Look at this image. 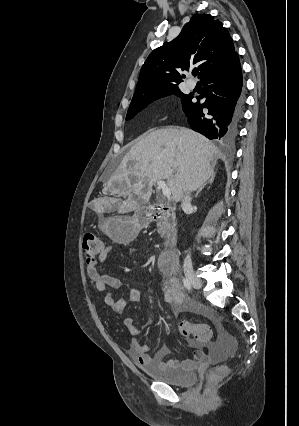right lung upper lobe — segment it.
Returning <instances> with one entry per match:
<instances>
[{
	"mask_svg": "<svg viewBox=\"0 0 299 426\" xmlns=\"http://www.w3.org/2000/svg\"><path fill=\"white\" fill-rule=\"evenodd\" d=\"M236 54L226 28L210 14H196L179 36L153 50L142 66L132 101L178 87L182 71L198 64L199 78L226 65Z\"/></svg>",
	"mask_w": 299,
	"mask_h": 426,
	"instance_id": "cb5924a9",
	"label": "right lung upper lobe"
}]
</instances>
